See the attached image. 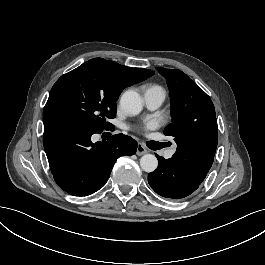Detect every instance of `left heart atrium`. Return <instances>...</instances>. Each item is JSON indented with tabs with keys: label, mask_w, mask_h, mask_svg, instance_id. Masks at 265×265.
I'll list each match as a JSON object with an SVG mask.
<instances>
[{
	"label": "left heart atrium",
	"mask_w": 265,
	"mask_h": 265,
	"mask_svg": "<svg viewBox=\"0 0 265 265\" xmlns=\"http://www.w3.org/2000/svg\"><path fill=\"white\" fill-rule=\"evenodd\" d=\"M158 126V123L154 120H150L146 123V129H153L156 128Z\"/></svg>",
	"instance_id": "1"
}]
</instances>
